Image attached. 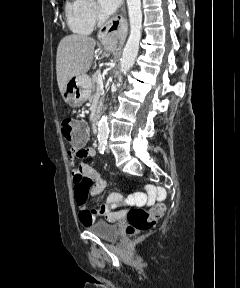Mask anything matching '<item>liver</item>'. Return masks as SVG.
<instances>
[{
	"label": "liver",
	"mask_w": 240,
	"mask_h": 288,
	"mask_svg": "<svg viewBox=\"0 0 240 288\" xmlns=\"http://www.w3.org/2000/svg\"><path fill=\"white\" fill-rule=\"evenodd\" d=\"M96 41L84 35H68L57 48L56 73L58 87L63 93L68 81L76 76L85 75L93 61Z\"/></svg>",
	"instance_id": "liver-1"
}]
</instances>
